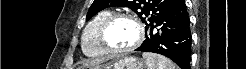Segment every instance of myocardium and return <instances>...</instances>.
Here are the masks:
<instances>
[{
    "label": "myocardium",
    "instance_id": "obj_1",
    "mask_svg": "<svg viewBox=\"0 0 246 69\" xmlns=\"http://www.w3.org/2000/svg\"><path fill=\"white\" fill-rule=\"evenodd\" d=\"M118 19H127L133 22L137 30V38L135 42L132 45L126 48H123V49L113 48L106 41V34H107L109 27L111 26L113 22H115ZM98 38H99V42L101 46L104 48L105 51L113 55H122V54H125L129 51L136 49L143 42L144 28H143L141 21L136 16L130 13H122V12L112 13L111 15L106 17L103 20L102 24L100 25V28L98 30Z\"/></svg>",
    "mask_w": 246,
    "mask_h": 69
}]
</instances>
